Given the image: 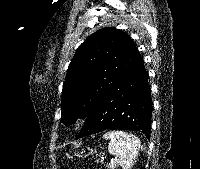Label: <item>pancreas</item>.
<instances>
[{"label": "pancreas", "instance_id": "1", "mask_svg": "<svg viewBox=\"0 0 200 169\" xmlns=\"http://www.w3.org/2000/svg\"><path fill=\"white\" fill-rule=\"evenodd\" d=\"M117 166V160L111 161L109 164H106L107 169H114Z\"/></svg>", "mask_w": 200, "mask_h": 169}]
</instances>
